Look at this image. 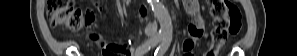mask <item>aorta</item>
Returning a JSON list of instances; mask_svg holds the SVG:
<instances>
[{
  "label": "aorta",
  "mask_w": 297,
  "mask_h": 56,
  "mask_svg": "<svg viewBox=\"0 0 297 56\" xmlns=\"http://www.w3.org/2000/svg\"><path fill=\"white\" fill-rule=\"evenodd\" d=\"M152 10L160 23V30L164 34L172 33V23L167 8L160 0H150Z\"/></svg>",
  "instance_id": "762f6f07"
}]
</instances>
